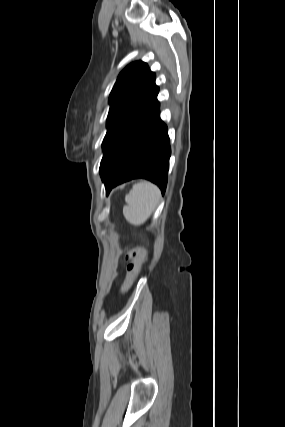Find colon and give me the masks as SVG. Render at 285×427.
Returning <instances> with one entry per match:
<instances>
[{
    "mask_svg": "<svg viewBox=\"0 0 285 427\" xmlns=\"http://www.w3.org/2000/svg\"><path fill=\"white\" fill-rule=\"evenodd\" d=\"M126 259L129 261V263L126 269L125 281L120 289L122 295L129 291L135 279L139 275L142 266L147 261V252L145 248L141 246H135L127 250Z\"/></svg>",
    "mask_w": 285,
    "mask_h": 427,
    "instance_id": "obj_1",
    "label": "colon"
}]
</instances>
